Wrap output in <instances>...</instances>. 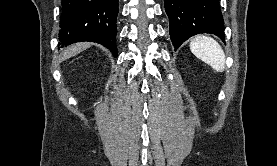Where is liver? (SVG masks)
I'll use <instances>...</instances> for the list:
<instances>
[{"mask_svg":"<svg viewBox=\"0 0 277 166\" xmlns=\"http://www.w3.org/2000/svg\"><path fill=\"white\" fill-rule=\"evenodd\" d=\"M89 46L90 45L87 43H77L75 45H72L64 51V53L61 57V60H65L70 57H73V56L79 54L80 52H82L83 50L87 49Z\"/></svg>","mask_w":277,"mask_h":166,"instance_id":"1","label":"liver"}]
</instances>
